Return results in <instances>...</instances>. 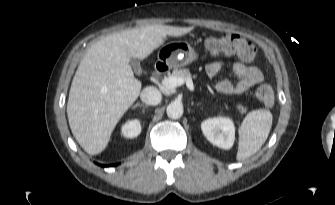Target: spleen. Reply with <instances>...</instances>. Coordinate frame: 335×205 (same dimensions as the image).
<instances>
[{"label": "spleen", "instance_id": "obj_1", "mask_svg": "<svg viewBox=\"0 0 335 205\" xmlns=\"http://www.w3.org/2000/svg\"><path fill=\"white\" fill-rule=\"evenodd\" d=\"M269 110H253L247 114L239 128L236 159L243 161L257 153L268 138L272 126Z\"/></svg>", "mask_w": 335, "mask_h": 205}]
</instances>
